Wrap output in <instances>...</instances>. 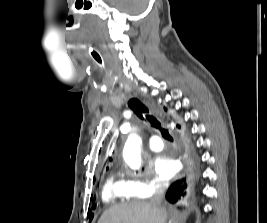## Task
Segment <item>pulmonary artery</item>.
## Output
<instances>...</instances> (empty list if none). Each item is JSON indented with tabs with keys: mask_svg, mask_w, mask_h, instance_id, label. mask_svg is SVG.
Returning <instances> with one entry per match:
<instances>
[{
	"mask_svg": "<svg viewBox=\"0 0 267 223\" xmlns=\"http://www.w3.org/2000/svg\"><path fill=\"white\" fill-rule=\"evenodd\" d=\"M148 146L152 151L157 152V151H161L163 149L164 143L159 136L154 135L149 140Z\"/></svg>",
	"mask_w": 267,
	"mask_h": 223,
	"instance_id": "1",
	"label": "pulmonary artery"
}]
</instances>
